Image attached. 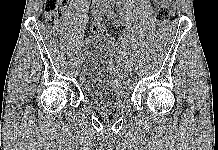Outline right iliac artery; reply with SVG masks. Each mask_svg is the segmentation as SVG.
<instances>
[{"label":"right iliac artery","instance_id":"1","mask_svg":"<svg viewBox=\"0 0 218 150\" xmlns=\"http://www.w3.org/2000/svg\"><path fill=\"white\" fill-rule=\"evenodd\" d=\"M93 23H99L102 19V15L101 14H97L96 12L93 13ZM82 54L83 55H86L87 54V51L86 50H83L82 51Z\"/></svg>","mask_w":218,"mask_h":150}]
</instances>
